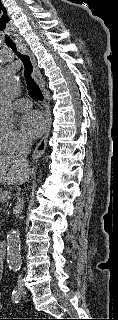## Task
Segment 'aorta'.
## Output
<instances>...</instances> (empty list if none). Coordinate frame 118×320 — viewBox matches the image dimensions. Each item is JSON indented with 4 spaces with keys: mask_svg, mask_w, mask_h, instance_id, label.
I'll return each mask as SVG.
<instances>
[{
    "mask_svg": "<svg viewBox=\"0 0 118 320\" xmlns=\"http://www.w3.org/2000/svg\"><path fill=\"white\" fill-rule=\"evenodd\" d=\"M19 88V78L16 75H2L0 77V128L10 129L15 122L12 102ZM21 240L19 233L11 229L7 233V263L9 268L17 272L22 264Z\"/></svg>",
    "mask_w": 118,
    "mask_h": 320,
    "instance_id": "762f6f07",
    "label": "aorta"
}]
</instances>
